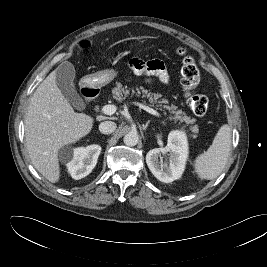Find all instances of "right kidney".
<instances>
[{
  "label": "right kidney",
  "instance_id": "ca27d5eb",
  "mask_svg": "<svg viewBox=\"0 0 267 267\" xmlns=\"http://www.w3.org/2000/svg\"><path fill=\"white\" fill-rule=\"evenodd\" d=\"M100 153L101 146L96 144L75 148L66 164L72 178L79 180L89 175L96 166Z\"/></svg>",
  "mask_w": 267,
  "mask_h": 267
}]
</instances>
